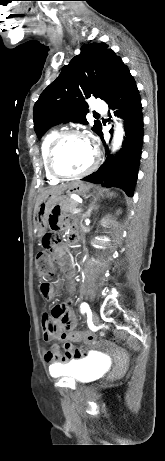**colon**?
<instances>
[{
	"instance_id": "5ec220e1",
	"label": "colon",
	"mask_w": 165,
	"mask_h": 461,
	"mask_svg": "<svg viewBox=\"0 0 165 461\" xmlns=\"http://www.w3.org/2000/svg\"><path fill=\"white\" fill-rule=\"evenodd\" d=\"M58 242V238L54 233H46L42 238V250L39 251L35 257L36 272L39 277H48L54 274L55 266L49 258V251L52 246ZM59 306H55L52 310L54 316H59ZM90 342L93 341V336H87ZM76 340H65L62 349L67 354L72 356L73 360H78L81 356L85 355L88 349L87 343H80V347L76 348ZM122 355L124 353H121Z\"/></svg>"
}]
</instances>
